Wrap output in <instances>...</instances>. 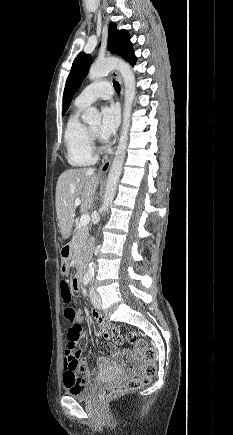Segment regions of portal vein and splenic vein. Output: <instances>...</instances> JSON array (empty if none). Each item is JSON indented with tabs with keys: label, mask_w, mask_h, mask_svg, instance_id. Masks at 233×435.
Instances as JSON below:
<instances>
[{
	"label": "portal vein and splenic vein",
	"mask_w": 233,
	"mask_h": 435,
	"mask_svg": "<svg viewBox=\"0 0 233 435\" xmlns=\"http://www.w3.org/2000/svg\"><path fill=\"white\" fill-rule=\"evenodd\" d=\"M80 204H81V200L78 199V198L75 199V205L78 206V205H80ZM89 221H90V217H89V215H88V214H83V215L81 216V218H80L79 225L85 227V226H87V224L89 223Z\"/></svg>",
	"instance_id": "portal-vein-and-splenic-vein-1"
}]
</instances>
